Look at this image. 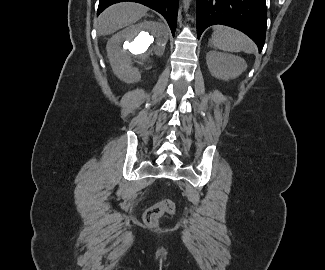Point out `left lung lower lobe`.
Listing matches in <instances>:
<instances>
[{
  "instance_id": "obj_1",
  "label": "left lung lower lobe",
  "mask_w": 325,
  "mask_h": 270,
  "mask_svg": "<svg viewBox=\"0 0 325 270\" xmlns=\"http://www.w3.org/2000/svg\"><path fill=\"white\" fill-rule=\"evenodd\" d=\"M197 36L209 26L222 24L248 35L261 52L267 27L266 0H196Z\"/></svg>"
}]
</instances>
